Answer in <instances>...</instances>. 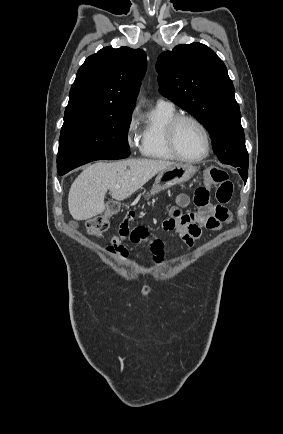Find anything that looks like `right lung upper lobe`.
Returning a JSON list of instances; mask_svg holds the SVG:
<instances>
[{
	"label": "right lung upper lobe",
	"instance_id": "1",
	"mask_svg": "<svg viewBox=\"0 0 283 434\" xmlns=\"http://www.w3.org/2000/svg\"><path fill=\"white\" fill-rule=\"evenodd\" d=\"M146 69L142 49L102 48L79 68L64 119L132 114Z\"/></svg>",
	"mask_w": 283,
	"mask_h": 434
}]
</instances>
